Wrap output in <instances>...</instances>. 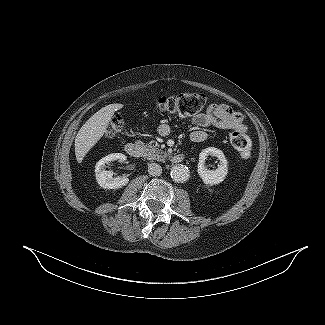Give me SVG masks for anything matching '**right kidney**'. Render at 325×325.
<instances>
[{
	"mask_svg": "<svg viewBox=\"0 0 325 325\" xmlns=\"http://www.w3.org/2000/svg\"><path fill=\"white\" fill-rule=\"evenodd\" d=\"M115 160L125 161L126 156L122 153H112L100 159L95 166L97 183L104 189H118L128 184L126 176L113 178V172L104 169L105 164Z\"/></svg>",
	"mask_w": 325,
	"mask_h": 325,
	"instance_id": "1",
	"label": "right kidney"
}]
</instances>
